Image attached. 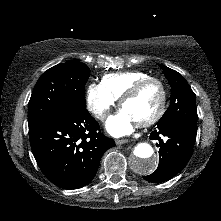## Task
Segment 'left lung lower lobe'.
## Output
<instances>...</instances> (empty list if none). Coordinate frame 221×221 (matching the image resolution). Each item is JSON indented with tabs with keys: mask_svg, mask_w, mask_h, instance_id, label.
Here are the masks:
<instances>
[{
	"mask_svg": "<svg viewBox=\"0 0 221 221\" xmlns=\"http://www.w3.org/2000/svg\"><path fill=\"white\" fill-rule=\"evenodd\" d=\"M196 134L181 124H158L150 134L151 140H158L159 165L154 173L144 176L149 182L160 183L177 175L188 163L195 144Z\"/></svg>",
	"mask_w": 221,
	"mask_h": 221,
	"instance_id": "left-lung-lower-lobe-1",
	"label": "left lung lower lobe"
}]
</instances>
